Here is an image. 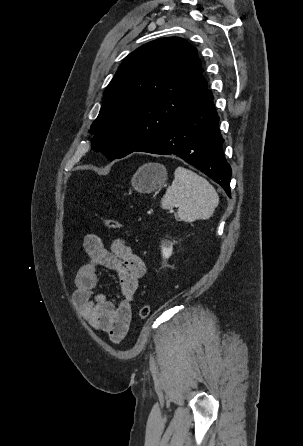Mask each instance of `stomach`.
I'll list each match as a JSON object with an SVG mask.
<instances>
[{
  "label": "stomach",
  "mask_w": 303,
  "mask_h": 446,
  "mask_svg": "<svg viewBox=\"0 0 303 446\" xmlns=\"http://www.w3.org/2000/svg\"><path fill=\"white\" fill-rule=\"evenodd\" d=\"M167 180V169L159 163H146L131 179L132 187L139 193H151L160 189Z\"/></svg>",
  "instance_id": "obj_1"
}]
</instances>
